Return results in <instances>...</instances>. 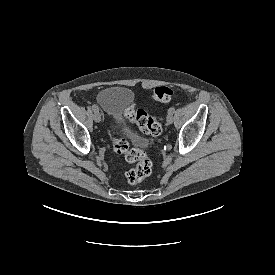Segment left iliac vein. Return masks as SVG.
Listing matches in <instances>:
<instances>
[{
  "label": "left iliac vein",
  "instance_id": "4c4485c4",
  "mask_svg": "<svg viewBox=\"0 0 275 275\" xmlns=\"http://www.w3.org/2000/svg\"><path fill=\"white\" fill-rule=\"evenodd\" d=\"M173 121H174L173 116H172L171 114H169V115L167 116V123H168V124H172Z\"/></svg>",
  "mask_w": 275,
  "mask_h": 275
}]
</instances>
